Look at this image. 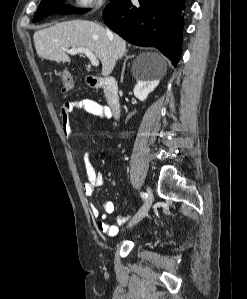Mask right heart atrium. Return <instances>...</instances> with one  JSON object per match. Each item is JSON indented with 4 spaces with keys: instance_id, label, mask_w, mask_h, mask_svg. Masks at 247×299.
Wrapping results in <instances>:
<instances>
[{
    "instance_id": "right-heart-atrium-1",
    "label": "right heart atrium",
    "mask_w": 247,
    "mask_h": 299,
    "mask_svg": "<svg viewBox=\"0 0 247 299\" xmlns=\"http://www.w3.org/2000/svg\"><path fill=\"white\" fill-rule=\"evenodd\" d=\"M104 0H73L76 10H95L101 7Z\"/></svg>"
}]
</instances>
